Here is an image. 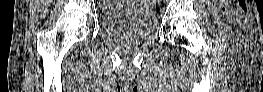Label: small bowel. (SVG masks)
Returning <instances> with one entry per match:
<instances>
[{
	"instance_id": "small-bowel-1",
	"label": "small bowel",
	"mask_w": 263,
	"mask_h": 92,
	"mask_svg": "<svg viewBox=\"0 0 263 92\" xmlns=\"http://www.w3.org/2000/svg\"><path fill=\"white\" fill-rule=\"evenodd\" d=\"M147 5H148V3H145V4H144V6H143L142 8H146V7H147Z\"/></svg>"
}]
</instances>
